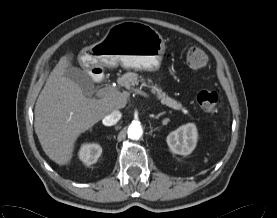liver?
Segmentation results:
<instances>
[{
  "mask_svg": "<svg viewBox=\"0 0 277 218\" xmlns=\"http://www.w3.org/2000/svg\"><path fill=\"white\" fill-rule=\"evenodd\" d=\"M72 53L61 57L50 73L35 105L34 128L45 154L58 165L69 164L77 138L114 110L124 108L126 93L87 98L64 76Z\"/></svg>",
  "mask_w": 277,
  "mask_h": 218,
  "instance_id": "6515ba94",
  "label": "liver"
}]
</instances>
